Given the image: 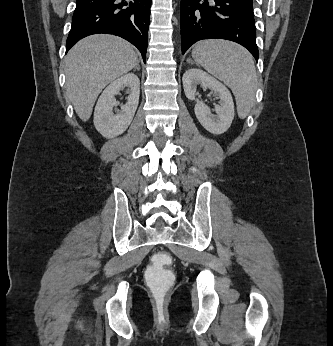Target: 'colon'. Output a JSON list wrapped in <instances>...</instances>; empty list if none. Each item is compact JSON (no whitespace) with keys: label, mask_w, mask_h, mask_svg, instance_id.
<instances>
[{"label":"colon","mask_w":333,"mask_h":346,"mask_svg":"<svg viewBox=\"0 0 333 346\" xmlns=\"http://www.w3.org/2000/svg\"><path fill=\"white\" fill-rule=\"evenodd\" d=\"M154 264H148L144 270V275L147 280V287L151 288L150 292L154 299V309L163 310L165 299L167 298L168 289L174 288V275L169 269L171 257L165 252L156 254L153 258Z\"/></svg>","instance_id":"1"}]
</instances>
